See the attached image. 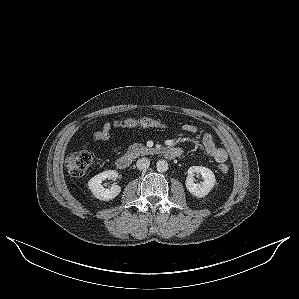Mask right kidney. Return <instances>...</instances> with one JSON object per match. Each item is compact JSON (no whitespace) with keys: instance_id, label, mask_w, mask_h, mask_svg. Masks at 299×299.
Returning <instances> with one entry per match:
<instances>
[{"instance_id":"ca27d5eb","label":"right kidney","mask_w":299,"mask_h":299,"mask_svg":"<svg viewBox=\"0 0 299 299\" xmlns=\"http://www.w3.org/2000/svg\"><path fill=\"white\" fill-rule=\"evenodd\" d=\"M117 177L118 172L115 170L104 171L91 178L88 182V187L97 199L103 201L114 199L121 192V187L118 185H112L110 188L105 189L101 183L107 178L116 180Z\"/></svg>"}]
</instances>
